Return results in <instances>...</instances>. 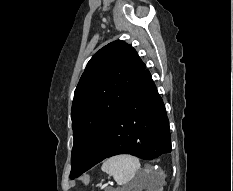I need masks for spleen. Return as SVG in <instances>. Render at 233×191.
Wrapping results in <instances>:
<instances>
[{
    "label": "spleen",
    "instance_id": "1",
    "mask_svg": "<svg viewBox=\"0 0 233 191\" xmlns=\"http://www.w3.org/2000/svg\"><path fill=\"white\" fill-rule=\"evenodd\" d=\"M101 169L103 172L113 176L118 185L123 186L135 177L140 169V162L138 158L131 155H118L106 160Z\"/></svg>",
    "mask_w": 233,
    "mask_h": 191
}]
</instances>
